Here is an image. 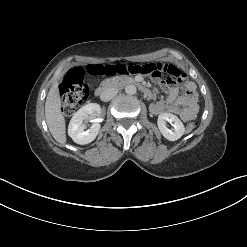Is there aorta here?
Listing matches in <instances>:
<instances>
[{"instance_id": "aorta-1", "label": "aorta", "mask_w": 247, "mask_h": 247, "mask_svg": "<svg viewBox=\"0 0 247 247\" xmlns=\"http://www.w3.org/2000/svg\"><path fill=\"white\" fill-rule=\"evenodd\" d=\"M125 92L129 95H134L137 92V88L135 85L130 84L125 87Z\"/></svg>"}]
</instances>
